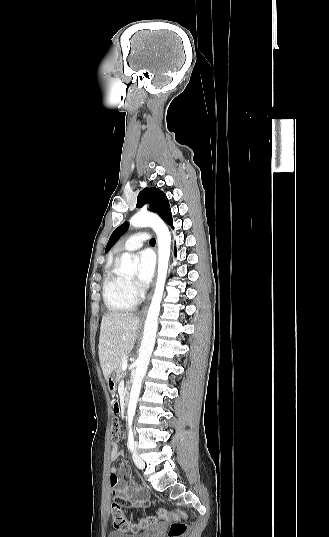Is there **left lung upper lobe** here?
Wrapping results in <instances>:
<instances>
[{
    "instance_id": "1",
    "label": "left lung upper lobe",
    "mask_w": 329,
    "mask_h": 537,
    "mask_svg": "<svg viewBox=\"0 0 329 537\" xmlns=\"http://www.w3.org/2000/svg\"><path fill=\"white\" fill-rule=\"evenodd\" d=\"M148 203L152 212L158 213L164 221L172 225V214L169 207V202L166 195L158 188L151 187L142 190L137 197L136 207L140 208ZM128 226L125 222L120 225L110 236L106 246V252L117 242Z\"/></svg>"
}]
</instances>
